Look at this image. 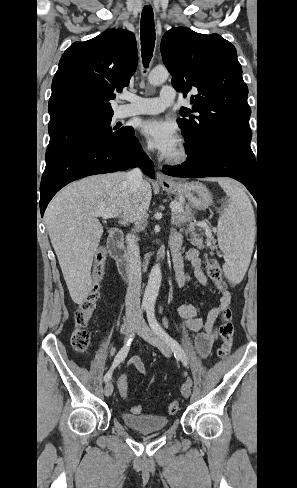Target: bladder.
<instances>
[{"mask_svg":"<svg viewBox=\"0 0 297 488\" xmlns=\"http://www.w3.org/2000/svg\"><path fill=\"white\" fill-rule=\"evenodd\" d=\"M121 419L127 427L140 432L160 431L165 429L169 424V419L160 415L122 413Z\"/></svg>","mask_w":297,"mask_h":488,"instance_id":"bladder-1","label":"bladder"}]
</instances>
